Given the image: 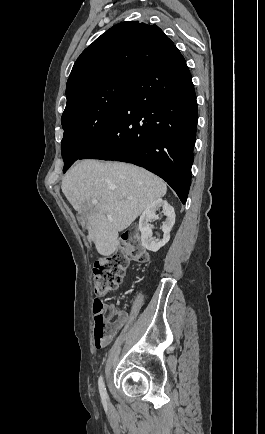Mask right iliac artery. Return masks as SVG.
Instances as JSON below:
<instances>
[{"label":"right iliac artery","instance_id":"obj_1","mask_svg":"<svg viewBox=\"0 0 265 434\" xmlns=\"http://www.w3.org/2000/svg\"><path fill=\"white\" fill-rule=\"evenodd\" d=\"M98 384H99L100 396H101L102 400L104 402H106L108 400V394L106 392V388H105V384H104V380H103L102 376H100Z\"/></svg>","mask_w":265,"mask_h":434}]
</instances>
